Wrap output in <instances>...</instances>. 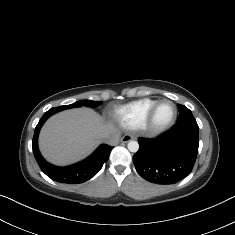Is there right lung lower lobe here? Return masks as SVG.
Masks as SVG:
<instances>
[{"label": "right lung lower lobe", "mask_w": 235, "mask_h": 235, "mask_svg": "<svg viewBox=\"0 0 235 235\" xmlns=\"http://www.w3.org/2000/svg\"><path fill=\"white\" fill-rule=\"evenodd\" d=\"M57 112L48 110L37 124L33 136V153L41 170L51 179L69 184L83 183L91 179L100 171L103 164L108 160L113 147L102 144L96 151L85 160L66 167H58L48 163L40 154L38 149V135L44 122Z\"/></svg>", "instance_id": "98d812e1"}]
</instances>
